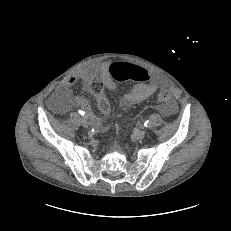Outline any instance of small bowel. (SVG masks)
<instances>
[{"label": "small bowel", "mask_w": 231, "mask_h": 231, "mask_svg": "<svg viewBox=\"0 0 231 231\" xmlns=\"http://www.w3.org/2000/svg\"><path fill=\"white\" fill-rule=\"evenodd\" d=\"M109 63L101 62L96 63L93 66L83 70L79 75H71L65 78L62 82L64 87L73 86L78 80H81L86 88L90 90V84L95 78H99L103 81L106 88L112 91H117V85L109 74ZM145 70V69H144ZM146 71V70H145ZM162 86V80L158 77H150L147 74V79L144 81H138L136 85L129 91H126L120 96V103L123 106H132L139 104L149 97H151L160 87ZM91 91V90H90ZM96 96V95H95ZM97 102H98V97ZM77 105L86 111L87 115L90 116L93 126L99 129L101 120L91 113L89 103L82 97L75 99ZM175 111V104L171 103L162 112L165 115H171Z\"/></svg>", "instance_id": "obj_1"}]
</instances>
